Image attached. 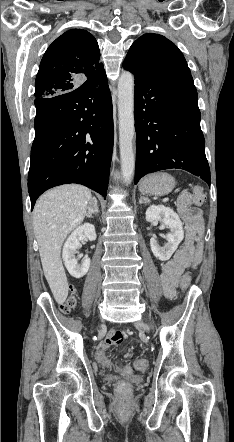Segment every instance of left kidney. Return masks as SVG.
I'll use <instances>...</instances> for the list:
<instances>
[{"label":"left kidney","mask_w":234,"mask_h":442,"mask_svg":"<svg viewBox=\"0 0 234 442\" xmlns=\"http://www.w3.org/2000/svg\"><path fill=\"white\" fill-rule=\"evenodd\" d=\"M146 221H160L170 229L167 234V244L160 247L156 237L150 239L153 254L161 261H167L178 248L184 238L183 226L179 216L169 207L163 205H151L146 210Z\"/></svg>","instance_id":"obj_1"}]
</instances>
